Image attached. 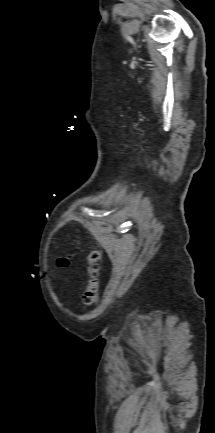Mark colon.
<instances>
[{
    "label": "colon",
    "instance_id": "colon-1",
    "mask_svg": "<svg viewBox=\"0 0 215 433\" xmlns=\"http://www.w3.org/2000/svg\"><path fill=\"white\" fill-rule=\"evenodd\" d=\"M100 262L101 252L93 250L89 253L87 259V284L82 295V302L85 308L92 307L98 298L100 286ZM59 268H67L71 263L69 256H61L56 260Z\"/></svg>",
    "mask_w": 215,
    "mask_h": 433
}]
</instances>
